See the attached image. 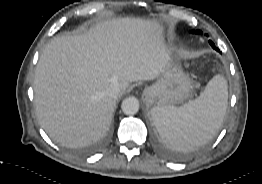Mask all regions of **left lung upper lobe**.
I'll return each instance as SVG.
<instances>
[{"mask_svg":"<svg viewBox=\"0 0 262 184\" xmlns=\"http://www.w3.org/2000/svg\"><path fill=\"white\" fill-rule=\"evenodd\" d=\"M195 33H199V31H195Z\"/></svg>","mask_w":262,"mask_h":184,"instance_id":"left-lung-upper-lobe-1","label":"left lung upper lobe"}]
</instances>
